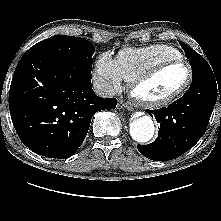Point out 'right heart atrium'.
I'll use <instances>...</instances> for the list:
<instances>
[{
  "label": "right heart atrium",
  "mask_w": 221,
  "mask_h": 221,
  "mask_svg": "<svg viewBox=\"0 0 221 221\" xmlns=\"http://www.w3.org/2000/svg\"><path fill=\"white\" fill-rule=\"evenodd\" d=\"M93 78L102 85H108L115 90H119L122 86V77L117 68L116 60L109 53H102L98 56Z\"/></svg>",
  "instance_id": "right-heart-atrium-1"
}]
</instances>
